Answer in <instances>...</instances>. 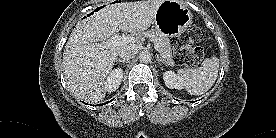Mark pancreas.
<instances>
[{"instance_id":"cf45deb5","label":"pancreas","mask_w":276,"mask_h":138,"mask_svg":"<svg viewBox=\"0 0 276 138\" xmlns=\"http://www.w3.org/2000/svg\"><path fill=\"white\" fill-rule=\"evenodd\" d=\"M142 34L145 37L152 39L156 44H158L159 53L168 65H174L170 41L167 36L163 35L162 33L156 30H149L143 32Z\"/></svg>"}]
</instances>
